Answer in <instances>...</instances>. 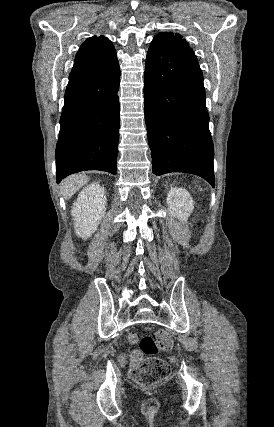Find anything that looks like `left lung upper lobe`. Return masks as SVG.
<instances>
[{"label": "left lung upper lobe", "mask_w": 274, "mask_h": 427, "mask_svg": "<svg viewBox=\"0 0 274 427\" xmlns=\"http://www.w3.org/2000/svg\"><path fill=\"white\" fill-rule=\"evenodd\" d=\"M156 37H175L185 42V40H183L180 35H174L173 33H170V32L160 33Z\"/></svg>", "instance_id": "obj_1"}]
</instances>
